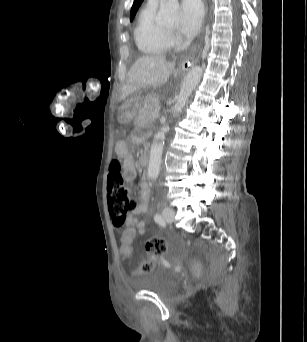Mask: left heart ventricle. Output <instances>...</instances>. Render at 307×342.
Segmentation results:
<instances>
[{
	"mask_svg": "<svg viewBox=\"0 0 307 342\" xmlns=\"http://www.w3.org/2000/svg\"><path fill=\"white\" fill-rule=\"evenodd\" d=\"M162 29V31L166 34V35H168V36H174V33H175V27H173V26H166V27H163V28H161Z\"/></svg>",
	"mask_w": 307,
	"mask_h": 342,
	"instance_id": "left-heart-ventricle-1",
	"label": "left heart ventricle"
}]
</instances>
